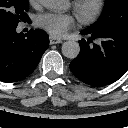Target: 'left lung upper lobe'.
I'll return each mask as SVG.
<instances>
[{
	"mask_svg": "<svg viewBox=\"0 0 128 128\" xmlns=\"http://www.w3.org/2000/svg\"><path fill=\"white\" fill-rule=\"evenodd\" d=\"M122 28H128V0H106L100 19L88 29L108 33Z\"/></svg>",
	"mask_w": 128,
	"mask_h": 128,
	"instance_id": "obj_1",
	"label": "left lung upper lobe"
}]
</instances>
